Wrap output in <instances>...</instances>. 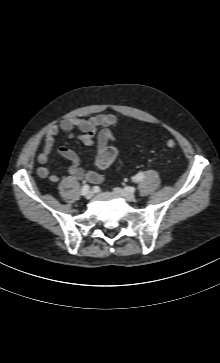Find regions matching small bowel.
Returning a JSON list of instances; mask_svg holds the SVG:
<instances>
[{"instance_id":"small-bowel-1","label":"small bowel","mask_w":220,"mask_h":363,"mask_svg":"<svg viewBox=\"0 0 220 363\" xmlns=\"http://www.w3.org/2000/svg\"><path fill=\"white\" fill-rule=\"evenodd\" d=\"M118 125V119L112 114H97L89 118H69L51 126L44 137L42 149L38 152L37 160L40 164L47 163L50 154L56 150L60 156L69 160L71 165L67 173L74 179H85L90 183H99L104 179L102 171L108 166L103 164L104 152L108 144L114 140V129ZM79 130L75 135L82 143L92 147L96 153L95 165L97 171H85L79 161L77 153L65 146L55 148V138L60 131L73 132ZM37 175L56 183L59 181L57 174L45 166L37 169Z\"/></svg>"}]
</instances>
